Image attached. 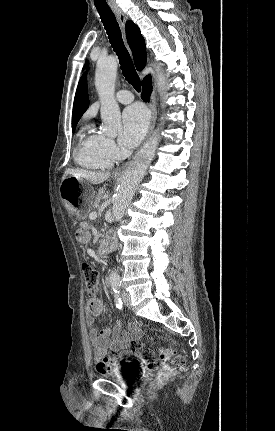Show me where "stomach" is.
<instances>
[{
  "mask_svg": "<svg viewBox=\"0 0 275 431\" xmlns=\"http://www.w3.org/2000/svg\"><path fill=\"white\" fill-rule=\"evenodd\" d=\"M94 194V190L86 186L83 179L74 176L66 177L60 184V195L64 206L68 213L76 219H83L87 216Z\"/></svg>",
  "mask_w": 275,
  "mask_h": 431,
  "instance_id": "1",
  "label": "stomach"
}]
</instances>
